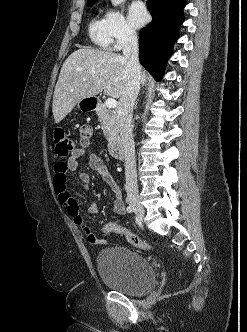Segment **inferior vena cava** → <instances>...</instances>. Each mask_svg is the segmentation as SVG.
<instances>
[{
	"mask_svg": "<svg viewBox=\"0 0 247 332\" xmlns=\"http://www.w3.org/2000/svg\"><path fill=\"white\" fill-rule=\"evenodd\" d=\"M138 39L134 30H128L123 40V57L127 61V83L117 108V123L125 158V189L127 199L138 198L135 145L132 133V112L140 89L141 67L138 60Z\"/></svg>",
	"mask_w": 247,
	"mask_h": 332,
	"instance_id": "1",
	"label": "inferior vena cava"
}]
</instances>
